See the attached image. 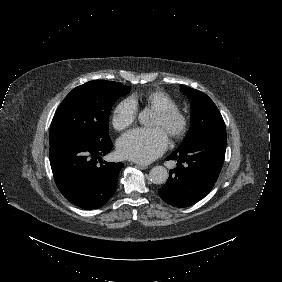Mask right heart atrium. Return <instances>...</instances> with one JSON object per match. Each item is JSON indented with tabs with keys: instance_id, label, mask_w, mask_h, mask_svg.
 <instances>
[{
	"instance_id": "1",
	"label": "right heart atrium",
	"mask_w": 282,
	"mask_h": 282,
	"mask_svg": "<svg viewBox=\"0 0 282 282\" xmlns=\"http://www.w3.org/2000/svg\"><path fill=\"white\" fill-rule=\"evenodd\" d=\"M136 119V109L129 102L121 103L114 111L113 125L121 130L131 125Z\"/></svg>"
}]
</instances>
